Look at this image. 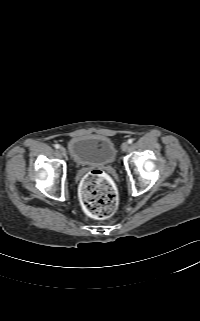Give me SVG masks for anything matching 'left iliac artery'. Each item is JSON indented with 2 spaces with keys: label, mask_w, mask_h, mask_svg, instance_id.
<instances>
[{
  "label": "left iliac artery",
  "mask_w": 200,
  "mask_h": 321,
  "mask_svg": "<svg viewBox=\"0 0 200 321\" xmlns=\"http://www.w3.org/2000/svg\"><path fill=\"white\" fill-rule=\"evenodd\" d=\"M128 143H129V144H132V143H133V139H129V140H128Z\"/></svg>",
  "instance_id": "obj_1"
}]
</instances>
